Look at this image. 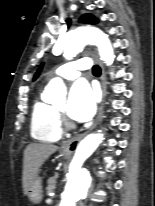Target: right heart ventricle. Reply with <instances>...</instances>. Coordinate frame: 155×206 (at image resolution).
I'll list each match as a JSON object with an SVG mask.
<instances>
[{"label":"right heart ventricle","instance_id":"right-heart-ventricle-1","mask_svg":"<svg viewBox=\"0 0 155 206\" xmlns=\"http://www.w3.org/2000/svg\"><path fill=\"white\" fill-rule=\"evenodd\" d=\"M31 134L43 142H55L62 135L59 115L56 108L43 100L36 99L31 113Z\"/></svg>","mask_w":155,"mask_h":206}]
</instances>
